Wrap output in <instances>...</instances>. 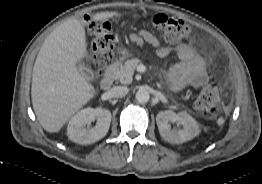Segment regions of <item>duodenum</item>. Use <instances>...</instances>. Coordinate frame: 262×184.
I'll use <instances>...</instances> for the list:
<instances>
[{"mask_svg":"<svg viewBox=\"0 0 262 184\" xmlns=\"http://www.w3.org/2000/svg\"><path fill=\"white\" fill-rule=\"evenodd\" d=\"M114 64L111 65L108 70L106 71L104 77L101 80V88L103 90H109L113 83V76H112V70H113Z\"/></svg>","mask_w":262,"mask_h":184,"instance_id":"1","label":"duodenum"}]
</instances>
